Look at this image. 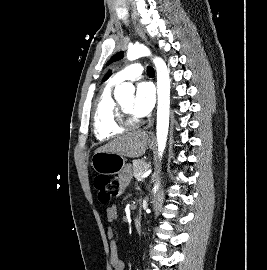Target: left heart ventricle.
Listing matches in <instances>:
<instances>
[{"label":"left heart ventricle","instance_id":"b2bd125f","mask_svg":"<svg viewBox=\"0 0 267 270\" xmlns=\"http://www.w3.org/2000/svg\"><path fill=\"white\" fill-rule=\"evenodd\" d=\"M132 103L133 99L129 98L124 101H122L120 104L125 109V111L132 117V118H138L132 111Z\"/></svg>","mask_w":267,"mask_h":270}]
</instances>
